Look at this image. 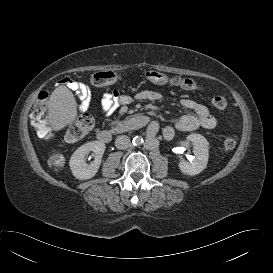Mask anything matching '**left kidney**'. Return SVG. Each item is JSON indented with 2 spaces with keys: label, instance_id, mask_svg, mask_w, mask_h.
I'll return each mask as SVG.
<instances>
[{
  "label": "left kidney",
  "instance_id": "5707ae66",
  "mask_svg": "<svg viewBox=\"0 0 273 273\" xmlns=\"http://www.w3.org/2000/svg\"><path fill=\"white\" fill-rule=\"evenodd\" d=\"M187 140L194 145V159L190 162L181 160L179 169L183 174L193 176L202 172L208 164L209 143L204 136L195 133L188 135Z\"/></svg>",
  "mask_w": 273,
  "mask_h": 273
}]
</instances>
